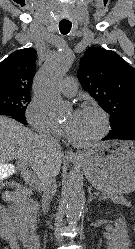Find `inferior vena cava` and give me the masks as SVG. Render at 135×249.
<instances>
[{
    "mask_svg": "<svg viewBox=\"0 0 135 249\" xmlns=\"http://www.w3.org/2000/svg\"><path fill=\"white\" fill-rule=\"evenodd\" d=\"M44 140L54 148L55 151L61 150V146L59 141L48 135L43 137ZM56 175L53 172H49L40 178V186L39 189L43 192L42 195V206L43 210L46 211L49 206L51 196L56 192Z\"/></svg>",
    "mask_w": 135,
    "mask_h": 249,
    "instance_id": "obj_1",
    "label": "inferior vena cava"
}]
</instances>
